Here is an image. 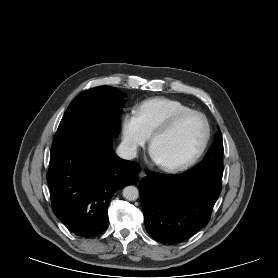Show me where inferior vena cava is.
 Returning <instances> with one entry per match:
<instances>
[{"label":"inferior vena cava","mask_w":278,"mask_h":278,"mask_svg":"<svg viewBox=\"0 0 278 278\" xmlns=\"http://www.w3.org/2000/svg\"><path fill=\"white\" fill-rule=\"evenodd\" d=\"M116 153L122 159L131 160L137 155V146L134 144L122 142L118 146Z\"/></svg>","instance_id":"602c4592"}]
</instances>
